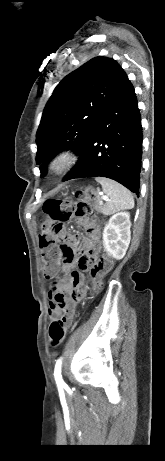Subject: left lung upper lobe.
<instances>
[{
  "mask_svg": "<svg viewBox=\"0 0 165 461\" xmlns=\"http://www.w3.org/2000/svg\"><path fill=\"white\" fill-rule=\"evenodd\" d=\"M127 75L111 58L95 57L67 75L55 88L36 134V163L64 149L79 152ZM45 164L40 168L46 173Z\"/></svg>",
  "mask_w": 165,
  "mask_h": 461,
  "instance_id": "5c2ea615",
  "label": "left lung upper lobe"
}]
</instances>
